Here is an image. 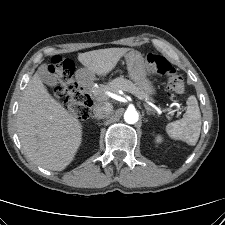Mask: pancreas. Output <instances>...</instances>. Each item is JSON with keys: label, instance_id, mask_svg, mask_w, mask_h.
<instances>
[{"label": "pancreas", "instance_id": "pancreas-1", "mask_svg": "<svg viewBox=\"0 0 225 225\" xmlns=\"http://www.w3.org/2000/svg\"><path fill=\"white\" fill-rule=\"evenodd\" d=\"M105 89L118 93L119 90L130 92L133 95L140 97L141 99H147L148 96L144 91H142L136 84H134L132 81L125 79L123 77H118L114 80H112ZM96 94H102L101 89L96 90Z\"/></svg>", "mask_w": 225, "mask_h": 225}]
</instances>
